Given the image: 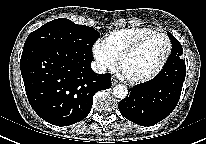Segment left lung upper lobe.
<instances>
[{
	"instance_id": "obj_1",
	"label": "left lung upper lobe",
	"mask_w": 206,
	"mask_h": 144,
	"mask_svg": "<svg viewBox=\"0 0 206 144\" xmlns=\"http://www.w3.org/2000/svg\"><path fill=\"white\" fill-rule=\"evenodd\" d=\"M168 36L172 42V50L167 62L170 61L171 58L183 60L182 59L183 49L180 42L169 32H168Z\"/></svg>"
}]
</instances>
